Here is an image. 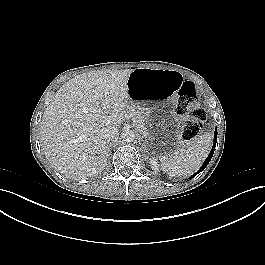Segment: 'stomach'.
Here are the masks:
<instances>
[{
    "mask_svg": "<svg viewBox=\"0 0 265 265\" xmlns=\"http://www.w3.org/2000/svg\"><path fill=\"white\" fill-rule=\"evenodd\" d=\"M180 81L181 75L176 71L152 68L134 69L128 77V99L130 103L142 106L147 124L143 134L158 151L167 150L176 137L179 139L176 131L161 124L169 115L159 107L176 97ZM155 120L159 122L153 127L151 123Z\"/></svg>",
    "mask_w": 265,
    "mask_h": 265,
    "instance_id": "obj_1",
    "label": "stomach"
}]
</instances>
